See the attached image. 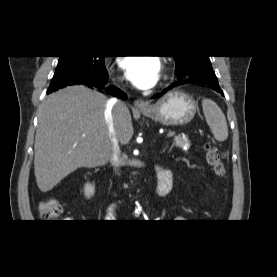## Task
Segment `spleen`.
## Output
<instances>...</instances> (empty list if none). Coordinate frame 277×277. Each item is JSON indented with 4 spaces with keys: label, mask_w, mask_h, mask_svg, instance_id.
I'll return each instance as SVG.
<instances>
[{
    "label": "spleen",
    "mask_w": 277,
    "mask_h": 277,
    "mask_svg": "<svg viewBox=\"0 0 277 277\" xmlns=\"http://www.w3.org/2000/svg\"><path fill=\"white\" fill-rule=\"evenodd\" d=\"M202 108L214 138L220 142L225 141L228 137V126L220 107L213 100L204 98L202 100Z\"/></svg>",
    "instance_id": "spleen-1"
}]
</instances>
